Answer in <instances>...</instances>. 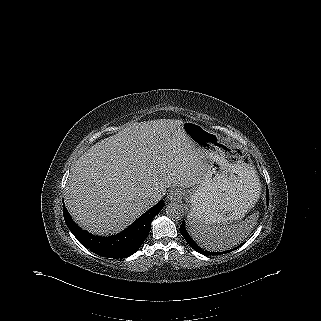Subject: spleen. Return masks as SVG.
Wrapping results in <instances>:
<instances>
[{"label":"spleen","mask_w":321,"mask_h":321,"mask_svg":"<svg viewBox=\"0 0 321 321\" xmlns=\"http://www.w3.org/2000/svg\"><path fill=\"white\" fill-rule=\"evenodd\" d=\"M258 213H253L237 224L197 222L190 224L189 233L197 243L210 251H224L242 242L257 224Z\"/></svg>","instance_id":"obj_1"}]
</instances>
